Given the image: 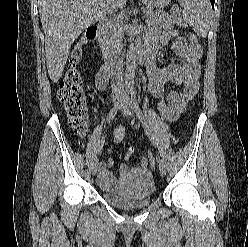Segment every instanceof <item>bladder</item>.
Masks as SVG:
<instances>
[{
    "label": "bladder",
    "instance_id": "bladder-1",
    "mask_svg": "<svg viewBox=\"0 0 248 247\" xmlns=\"http://www.w3.org/2000/svg\"><path fill=\"white\" fill-rule=\"evenodd\" d=\"M156 191L153 174L143 168L130 169L121 178L117 192L103 191V199L117 207L131 208L146 206L151 203Z\"/></svg>",
    "mask_w": 248,
    "mask_h": 247
}]
</instances>
